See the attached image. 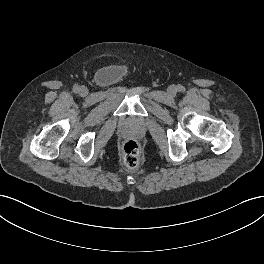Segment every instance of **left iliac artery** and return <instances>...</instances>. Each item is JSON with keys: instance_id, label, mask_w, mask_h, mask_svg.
<instances>
[{"instance_id": "1", "label": "left iliac artery", "mask_w": 264, "mask_h": 264, "mask_svg": "<svg viewBox=\"0 0 264 264\" xmlns=\"http://www.w3.org/2000/svg\"><path fill=\"white\" fill-rule=\"evenodd\" d=\"M177 90L180 91V92L183 91V86L182 85H178L177 86Z\"/></svg>"}]
</instances>
